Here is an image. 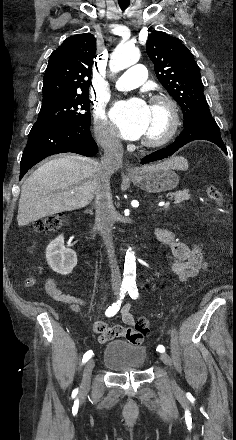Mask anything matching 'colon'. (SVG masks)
Listing matches in <instances>:
<instances>
[{"label": "colon", "instance_id": "colon-1", "mask_svg": "<svg viewBox=\"0 0 236 440\" xmlns=\"http://www.w3.org/2000/svg\"><path fill=\"white\" fill-rule=\"evenodd\" d=\"M206 192L208 196L216 203H219L222 199V193L220 190L213 184H208L206 186ZM64 222V218L61 216H49L45 219L36 221L34 223L33 229L36 232L43 233V232H53L58 230ZM34 281L32 278L27 279L26 284L27 285H33ZM134 330L140 331V338L139 339H127L131 342H136L139 340H143L149 333V322L145 318H139L135 324Z\"/></svg>", "mask_w": 236, "mask_h": 440}]
</instances>
